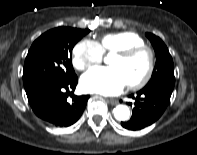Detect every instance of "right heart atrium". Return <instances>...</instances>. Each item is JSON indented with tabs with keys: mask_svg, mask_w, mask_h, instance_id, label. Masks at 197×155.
<instances>
[{
	"mask_svg": "<svg viewBox=\"0 0 197 155\" xmlns=\"http://www.w3.org/2000/svg\"><path fill=\"white\" fill-rule=\"evenodd\" d=\"M103 51L98 42L84 39L72 50V64L79 71L87 70L103 60Z\"/></svg>",
	"mask_w": 197,
	"mask_h": 155,
	"instance_id": "d8ad5b80",
	"label": "right heart atrium"
}]
</instances>
